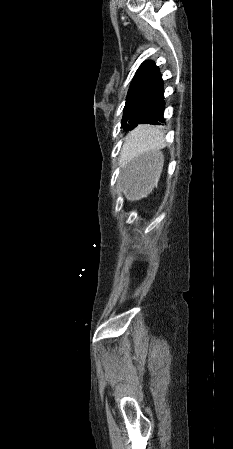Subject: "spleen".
<instances>
[{"mask_svg": "<svg viewBox=\"0 0 233 449\" xmlns=\"http://www.w3.org/2000/svg\"><path fill=\"white\" fill-rule=\"evenodd\" d=\"M140 130L142 133H135L128 137L127 143L124 145V152H127L132 148H137L140 152L146 145H150L154 148L157 145L156 142L162 140V135L158 131L150 132L151 127L149 124H142Z\"/></svg>", "mask_w": 233, "mask_h": 449, "instance_id": "3e777b00", "label": "spleen"}]
</instances>
